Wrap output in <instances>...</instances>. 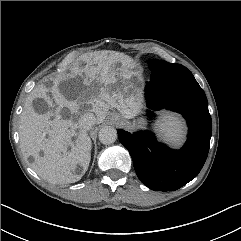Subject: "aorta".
Listing matches in <instances>:
<instances>
[{
    "label": "aorta",
    "instance_id": "762f6f07",
    "mask_svg": "<svg viewBox=\"0 0 241 241\" xmlns=\"http://www.w3.org/2000/svg\"><path fill=\"white\" fill-rule=\"evenodd\" d=\"M98 138L104 145L112 144L117 139V130L111 126H105L100 129Z\"/></svg>",
    "mask_w": 241,
    "mask_h": 241
}]
</instances>
